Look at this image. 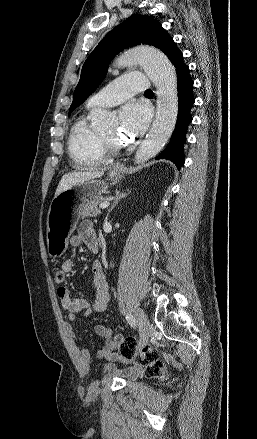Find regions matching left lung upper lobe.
Here are the masks:
<instances>
[{"label": "left lung upper lobe", "instance_id": "obj_1", "mask_svg": "<svg viewBox=\"0 0 257 439\" xmlns=\"http://www.w3.org/2000/svg\"><path fill=\"white\" fill-rule=\"evenodd\" d=\"M173 38L153 16L131 15L111 30L83 64L69 113L80 106L106 76L110 61L123 49L140 44L159 48L165 54Z\"/></svg>", "mask_w": 257, "mask_h": 439}]
</instances>
